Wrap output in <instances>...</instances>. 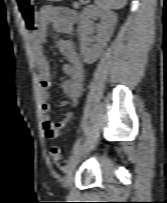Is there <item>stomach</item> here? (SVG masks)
<instances>
[{
	"mask_svg": "<svg viewBox=\"0 0 167 203\" xmlns=\"http://www.w3.org/2000/svg\"><path fill=\"white\" fill-rule=\"evenodd\" d=\"M49 1H51V2H60L62 0H49Z\"/></svg>",
	"mask_w": 167,
	"mask_h": 203,
	"instance_id": "1",
	"label": "stomach"
}]
</instances>
